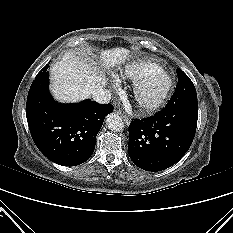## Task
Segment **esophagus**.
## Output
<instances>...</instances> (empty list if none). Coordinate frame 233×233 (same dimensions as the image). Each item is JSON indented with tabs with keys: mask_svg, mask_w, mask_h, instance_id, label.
Here are the masks:
<instances>
[{
	"mask_svg": "<svg viewBox=\"0 0 233 233\" xmlns=\"http://www.w3.org/2000/svg\"><path fill=\"white\" fill-rule=\"evenodd\" d=\"M117 113L121 114L120 111H117ZM121 117H122L123 121H124L126 124H129V123H130L129 117H127V116L124 115V114H121Z\"/></svg>",
	"mask_w": 233,
	"mask_h": 233,
	"instance_id": "obj_1",
	"label": "esophagus"
}]
</instances>
